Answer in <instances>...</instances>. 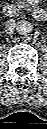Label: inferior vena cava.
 Returning <instances> with one entry per match:
<instances>
[{
  "instance_id": "obj_1",
  "label": "inferior vena cava",
  "mask_w": 47,
  "mask_h": 129,
  "mask_svg": "<svg viewBox=\"0 0 47 129\" xmlns=\"http://www.w3.org/2000/svg\"><path fill=\"white\" fill-rule=\"evenodd\" d=\"M15 21L14 20H9L7 23H6V26H5V32L10 34L13 32L14 28H15Z\"/></svg>"
}]
</instances>
